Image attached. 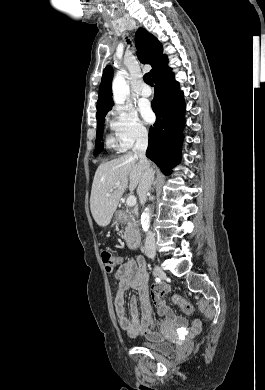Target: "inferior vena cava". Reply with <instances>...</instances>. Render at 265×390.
<instances>
[{"label": "inferior vena cava", "instance_id": "602c4592", "mask_svg": "<svg viewBox=\"0 0 265 390\" xmlns=\"http://www.w3.org/2000/svg\"><path fill=\"white\" fill-rule=\"evenodd\" d=\"M147 147L148 135L146 132H141L136 139L133 152L139 157L140 162L143 164L144 167L143 177L138 186V195L142 205H144L147 200V193L150 190V187L154 180V171L151 168L150 163L145 155ZM144 253L145 255L150 257L155 256L156 254L155 235L151 231H148L146 236Z\"/></svg>", "mask_w": 265, "mask_h": 390}]
</instances>
